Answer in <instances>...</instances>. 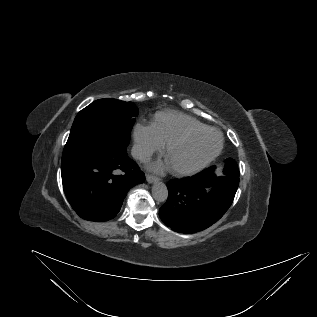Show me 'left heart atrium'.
Instances as JSON below:
<instances>
[{
	"instance_id": "obj_1",
	"label": "left heart atrium",
	"mask_w": 317,
	"mask_h": 317,
	"mask_svg": "<svg viewBox=\"0 0 317 317\" xmlns=\"http://www.w3.org/2000/svg\"><path fill=\"white\" fill-rule=\"evenodd\" d=\"M153 168L157 171H164L170 167L166 160H158L153 164Z\"/></svg>"
}]
</instances>
